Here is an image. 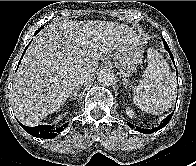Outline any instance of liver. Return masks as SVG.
Segmentation results:
<instances>
[{
  "label": "liver",
  "instance_id": "1",
  "mask_svg": "<svg viewBox=\"0 0 196 166\" xmlns=\"http://www.w3.org/2000/svg\"><path fill=\"white\" fill-rule=\"evenodd\" d=\"M125 44H141L125 24L64 20L47 26L34 37L14 78L17 119L27 126L38 124L73 95L78 72L93 76L98 61Z\"/></svg>",
  "mask_w": 196,
  "mask_h": 166
}]
</instances>
